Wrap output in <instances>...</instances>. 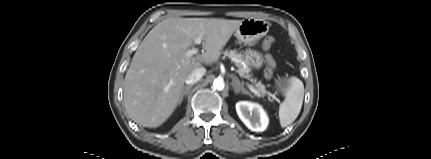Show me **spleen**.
<instances>
[{"instance_id": "1", "label": "spleen", "mask_w": 431, "mask_h": 159, "mask_svg": "<svg viewBox=\"0 0 431 159\" xmlns=\"http://www.w3.org/2000/svg\"><path fill=\"white\" fill-rule=\"evenodd\" d=\"M291 80L292 88L279 107V120L283 128L293 123L298 117L304 99V85L302 81L296 77L291 78Z\"/></svg>"}]
</instances>
